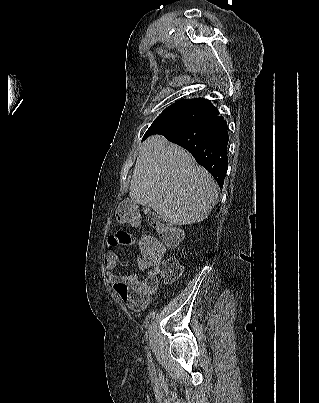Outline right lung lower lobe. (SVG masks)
Segmentation results:
<instances>
[{
  "mask_svg": "<svg viewBox=\"0 0 319 403\" xmlns=\"http://www.w3.org/2000/svg\"><path fill=\"white\" fill-rule=\"evenodd\" d=\"M227 129L226 121L219 113H215L187 125L168 127L154 134H161L167 140L187 149L222 187L228 166Z\"/></svg>",
  "mask_w": 319,
  "mask_h": 403,
  "instance_id": "98d812e1",
  "label": "right lung lower lobe"
}]
</instances>
